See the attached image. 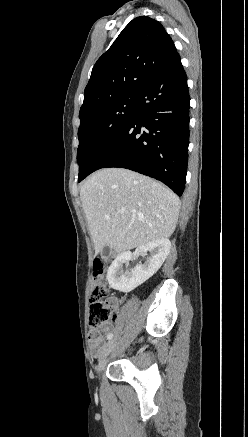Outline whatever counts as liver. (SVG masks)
I'll return each instance as SVG.
<instances>
[{
  "label": "liver",
  "instance_id": "1",
  "mask_svg": "<svg viewBox=\"0 0 248 437\" xmlns=\"http://www.w3.org/2000/svg\"><path fill=\"white\" fill-rule=\"evenodd\" d=\"M80 199L95 254L105 246L123 252L169 238L180 209L179 198L169 188L121 168L92 174L81 186Z\"/></svg>",
  "mask_w": 248,
  "mask_h": 437
}]
</instances>
